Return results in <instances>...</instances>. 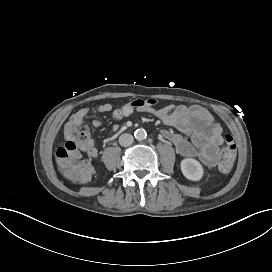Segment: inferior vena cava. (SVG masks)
I'll return each mask as SVG.
<instances>
[{
    "instance_id": "obj_1",
    "label": "inferior vena cava",
    "mask_w": 272,
    "mask_h": 272,
    "mask_svg": "<svg viewBox=\"0 0 272 272\" xmlns=\"http://www.w3.org/2000/svg\"><path fill=\"white\" fill-rule=\"evenodd\" d=\"M134 141V138L129 133H124L119 137V144L123 147L130 146Z\"/></svg>"
}]
</instances>
